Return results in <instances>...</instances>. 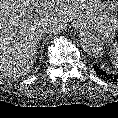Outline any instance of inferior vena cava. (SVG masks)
I'll return each mask as SVG.
<instances>
[{"instance_id": "obj_1", "label": "inferior vena cava", "mask_w": 118, "mask_h": 118, "mask_svg": "<svg viewBox=\"0 0 118 118\" xmlns=\"http://www.w3.org/2000/svg\"><path fill=\"white\" fill-rule=\"evenodd\" d=\"M41 27H42V32L44 35L47 33H58L60 31V29L63 28L62 25L57 24L56 22H53L50 20L42 22Z\"/></svg>"}]
</instances>
